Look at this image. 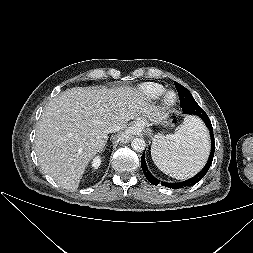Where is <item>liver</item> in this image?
<instances>
[{"instance_id": "liver-1", "label": "liver", "mask_w": 253, "mask_h": 253, "mask_svg": "<svg viewBox=\"0 0 253 253\" xmlns=\"http://www.w3.org/2000/svg\"><path fill=\"white\" fill-rule=\"evenodd\" d=\"M159 112L132 87H74L52 98L37 124L35 151L41 169L67 190H76L91 159L102 150L110 127L128 121L144 127ZM118 130V131H119Z\"/></svg>"}]
</instances>
